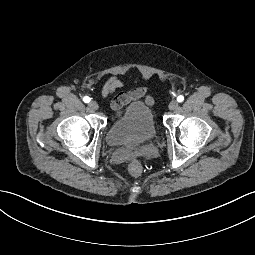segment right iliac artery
<instances>
[{
  "label": "right iliac artery",
  "instance_id": "right-iliac-artery-1",
  "mask_svg": "<svg viewBox=\"0 0 255 255\" xmlns=\"http://www.w3.org/2000/svg\"><path fill=\"white\" fill-rule=\"evenodd\" d=\"M83 101H84L85 103H88V102H90V98H89L88 96H86V97L83 98Z\"/></svg>",
  "mask_w": 255,
  "mask_h": 255
}]
</instances>
